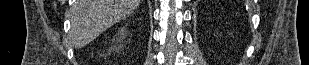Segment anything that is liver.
<instances>
[{"instance_id":"6515ba94","label":"liver","mask_w":309,"mask_h":65,"mask_svg":"<svg viewBox=\"0 0 309 65\" xmlns=\"http://www.w3.org/2000/svg\"><path fill=\"white\" fill-rule=\"evenodd\" d=\"M141 0H76L72 8L70 37L82 48L106 29L129 16Z\"/></svg>"}]
</instances>
